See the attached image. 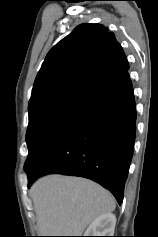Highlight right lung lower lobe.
Returning a JSON list of instances; mask_svg holds the SVG:
<instances>
[{
  "instance_id": "obj_1",
  "label": "right lung lower lobe",
  "mask_w": 158,
  "mask_h": 237,
  "mask_svg": "<svg viewBox=\"0 0 158 237\" xmlns=\"http://www.w3.org/2000/svg\"><path fill=\"white\" fill-rule=\"evenodd\" d=\"M136 134L132 82L126 72L77 107L39 145L28 186L50 173L89 178L121 204Z\"/></svg>"
}]
</instances>
